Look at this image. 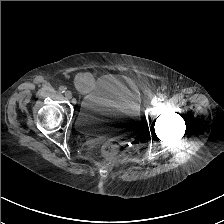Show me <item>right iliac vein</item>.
<instances>
[{"instance_id":"obj_1","label":"right iliac vein","mask_w":224,"mask_h":224,"mask_svg":"<svg viewBox=\"0 0 224 224\" xmlns=\"http://www.w3.org/2000/svg\"><path fill=\"white\" fill-rule=\"evenodd\" d=\"M66 99L70 100L72 98V93L70 91L65 92Z\"/></svg>"}]
</instances>
